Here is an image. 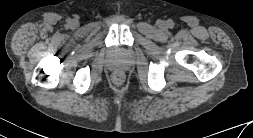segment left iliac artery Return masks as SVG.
Instances as JSON below:
<instances>
[{"instance_id":"obj_1","label":"left iliac artery","mask_w":253,"mask_h":138,"mask_svg":"<svg viewBox=\"0 0 253 138\" xmlns=\"http://www.w3.org/2000/svg\"><path fill=\"white\" fill-rule=\"evenodd\" d=\"M174 26V23L172 21H169V27H173Z\"/></svg>"}]
</instances>
